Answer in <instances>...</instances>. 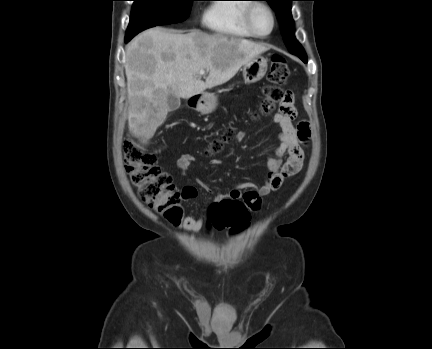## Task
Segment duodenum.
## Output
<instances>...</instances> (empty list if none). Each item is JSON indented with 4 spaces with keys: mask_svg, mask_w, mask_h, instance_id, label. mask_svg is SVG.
<instances>
[{
    "mask_svg": "<svg viewBox=\"0 0 432 349\" xmlns=\"http://www.w3.org/2000/svg\"><path fill=\"white\" fill-rule=\"evenodd\" d=\"M192 101L195 103L197 101V98H193Z\"/></svg>",
    "mask_w": 432,
    "mask_h": 349,
    "instance_id": "1",
    "label": "duodenum"
}]
</instances>
